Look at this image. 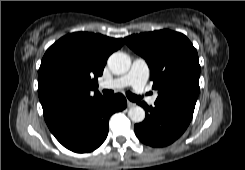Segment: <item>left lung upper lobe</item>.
Here are the masks:
<instances>
[{
    "label": "left lung upper lobe",
    "mask_w": 245,
    "mask_h": 170,
    "mask_svg": "<svg viewBox=\"0 0 245 170\" xmlns=\"http://www.w3.org/2000/svg\"><path fill=\"white\" fill-rule=\"evenodd\" d=\"M124 40L146 60L153 88L158 90L156 102L194 111L200 90V65L189 39L165 29L131 35Z\"/></svg>",
    "instance_id": "obj_1"
}]
</instances>
